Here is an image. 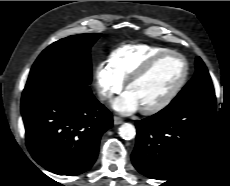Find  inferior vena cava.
Segmentation results:
<instances>
[{"label": "inferior vena cava", "mask_w": 230, "mask_h": 186, "mask_svg": "<svg viewBox=\"0 0 230 186\" xmlns=\"http://www.w3.org/2000/svg\"><path fill=\"white\" fill-rule=\"evenodd\" d=\"M110 98V95L108 93H102L100 94V99L101 100H105V99H108Z\"/></svg>", "instance_id": "602c4592"}]
</instances>
